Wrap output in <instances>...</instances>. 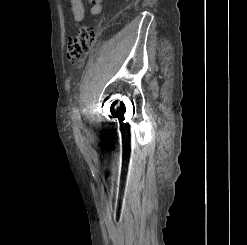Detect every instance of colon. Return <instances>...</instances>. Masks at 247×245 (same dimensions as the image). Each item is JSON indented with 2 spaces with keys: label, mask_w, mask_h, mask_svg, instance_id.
I'll return each instance as SVG.
<instances>
[{
  "label": "colon",
  "mask_w": 247,
  "mask_h": 245,
  "mask_svg": "<svg viewBox=\"0 0 247 245\" xmlns=\"http://www.w3.org/2000/svg\"><path fill=\"white\" fill-rule=\"evenodd\" d=\"M95 29L91 26H81L77 33L67 39V58L72 64L82 61L88 54L95 40Z\"/></svg>",
  "instance_id": "5ec220e1"
}]
</instances>
